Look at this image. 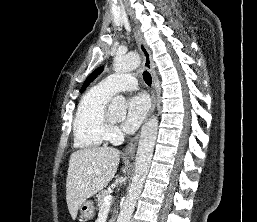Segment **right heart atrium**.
<instances>
[{
	"label": "right heart atrium",
	"instance_id": "obj_1",
	"mask_svg": "<svg viewBox=\"0 0 257 222\" xmlns=\"http://www.w3.org/2000/svg\"><path fill=\"white\" fill-rule=\"evenodd\" d=\"M110 134H111L112 138L116 139L119 135L118 129L115 127H112L110 129Z\"/></svg>",
	"mask_w": 257,
	"mask_h": 222
}]
</instances>
